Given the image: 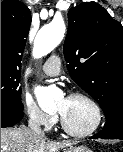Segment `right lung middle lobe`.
<instances>
[{"instance_id":"right-lung-middle-lobe-1","label":"right lung middle lobe","mask_w":123,"mask_h":152,"mask_svg":"<svg viewBox=\"0 0 123 152\" xmlns=\"http://www.w3.org/2000/svg\"><path fill=\"white\" fill-rule=\"evenodd\" d=\"M20 70L1 68V107L23 111Z\"/></svg>"}]
</instances>
